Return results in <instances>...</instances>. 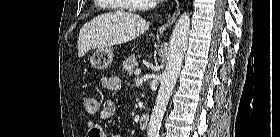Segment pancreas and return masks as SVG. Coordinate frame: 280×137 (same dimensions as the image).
Instances as JSON below:
<instances>
[{
    "mask_svg": "<svg viewBox=\"0 0 280 137\" xmlns=\"http://www.w3.org/2000/svg\"><path fill=\"white\" fill-rule=\"evenodd\" d=\"M138 68V62L134 55L128 57L123 61V70L126 71L129 75L133 74V71Z\"/></svg>",
    "mask_w": 280,
    "mask_h": 137,
    "instance_id": "pancreas-1",
    "label": "pancreas"
}]
</instances>
